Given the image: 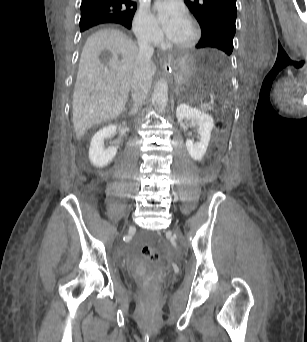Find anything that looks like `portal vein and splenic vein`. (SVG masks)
Listing matches in <instances>:
<instances>
[{
  "instance_id": "1",
  "label": "portal vein and splenic vein",
  "mask_w": 307,
  "mask_h": 342,
  "mask_svg": "<svg viewBox=\"0 0 307 342\" xmlns=\"http://www.w3.org/2000/svg\"><path fill=\"white\" fill-rule=\"evenodd\" d=\"M198 100H199V102H198L197 104H198L199 106H202V105H203V102H202L203 99L200 97Z\"/></svg>"
}]
</instances>
